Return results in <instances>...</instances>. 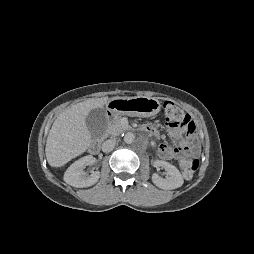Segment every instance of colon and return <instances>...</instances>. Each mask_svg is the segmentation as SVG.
<instances>
[{
	"label": "colon",
	"instance_id": "obj_1",
	"mask_svg": "<svg viewBox=\"0 0 254 254\" xmlns=\"http://www.w3.org/2000/svg\"><path fill=\"white\" fill-rule=\"evenodd\" d=\"M164 117L168 127L185 128L187 135L193 137L196 133V124L182 108L172 102H166L163 106ZM194 148V147H193ZM179 167L183 176L191 178L198 168V159L193 156H186L179 159Z\"/></svg>",
	"mask_w": 254,
	"mask_h": 254
}]
</instances>
